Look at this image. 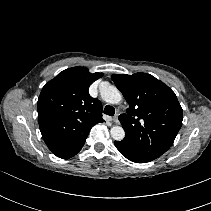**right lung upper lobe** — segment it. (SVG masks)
Masks as SVG:
<instances>
[{
  "mask_svg": "<svg viewBox=\"0 0 211 211\" xmlns=\"http://www.w3.org/2000/svg\"><path fill=\"white\" fill-rule=\"evenodd\" d=\"M102 76L85 67H73L43 87L38 98V121L46 145L57 157L76 155L92 126L104 122L101 102L88 92Z\"/></svg>",
  "mask_w": 211,
  "mask_h": 211,
  "instance_id": "obj_1",
  "label": "right lung upper lobe"
}]
</instances>
